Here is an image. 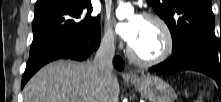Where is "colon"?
I'll return each mask as SVG.
<instances>
[{
  "instance_id": "colon-1",
  "label": "colon",
  "mask_w": 221,
  "mask_h": 102,
  "mask_svg": "<svg viewBox=\"0 0 221 102\" xmlns=\"http://www.w3.org/2000/svg\"><path fill=\"white\" fill-rule=\"evenodd\" d=\"M195 102H201V100L200 99H196Z\"/></svg>"
}]
</instances>
